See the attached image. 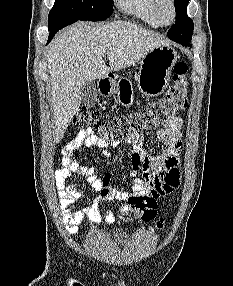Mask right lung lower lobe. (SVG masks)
Returning <instances> with one entry per match:
<instances>
[{"instance_id":"1","label":"right lung lower lobe","mask_w":233,"mask_h":286,"mask_svg":"<svg viewBox=\"0 0 233 286\" xmlns=\"http://www.w3.org/2000/svg\"><path fill=\"white\" fill-rule=\"evenodd\" d=\"M72 24L71 21H64V22H60L57 24H54L52 26H49V38H48V43L51 41V39L54 37V35L62 28H64L67 25Z\"/></svg>"}]
</instances>
